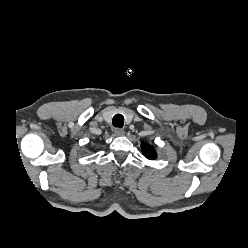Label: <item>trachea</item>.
I'll return each mask as SVG.
<instances>
[{"label": "trachea", "mask_w": 248, "mask_h": 248, "mask_svg": "<svg viewBox=\"0 0 248 248\" xmlns=\"http://www.w3.org/2000/svg\"><path fill=\"white\" fill-rule=\"evenodd\" d=\"M113 126L122 128L124 125V117L121 114H116L112 120Z\"/></svg>", "instance_id": "3493384b"}]
</instances>
